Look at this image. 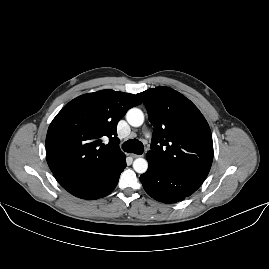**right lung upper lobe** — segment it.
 <instances>
[{
  "mask_svg": "<svg viewBox=\"0 0 269 269\" xmlns=\"http://www.w3.org/2000/svg\"><path fill=\"white\" fill-rule=\"evenodd\" d=\"M139 104L134 94L107 89L81 95L65 105L46 136L47 162L54 176L97 168L121 155L117 123ZM104 138L110 142L103 144Z\"/></svg>",
  "mask_w": 269,
  "mask_h": 269,
  "instance_id": "cb5924a9",
  "label": "right lung upper lobe"
}]
</instances>
